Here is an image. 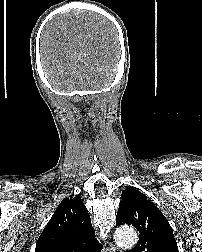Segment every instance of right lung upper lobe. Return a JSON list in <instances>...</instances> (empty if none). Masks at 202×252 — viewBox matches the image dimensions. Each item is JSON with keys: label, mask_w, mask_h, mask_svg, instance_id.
<instances>
[{"label": "right lung upper lobe", "mask_w": 202, "mask_h": 252, "mask_svg": "<svg viewBox=\"0 0 202 252\" xmlns=\"http://www.w3.org/2000/svg\"><path fill=\"white\" fill-rule=\"evenodd\" d=\"M90 215L79 196L65 198L41 233L35 252H100Z\"/></svg>", "instance_id": "cb5924a9"}]
</instances>
